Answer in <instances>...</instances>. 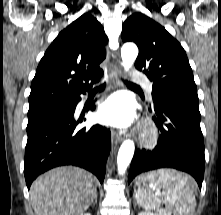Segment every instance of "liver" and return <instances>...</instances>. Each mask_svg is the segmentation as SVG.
Masks as SVG:
<instances>
[{"instance_id":"1","label":"liver","mask_w":221,"mask_h":215,"mask_svg":"<svg viewBox=\"0 0 221 215\" xmlns=\"http://www.w3.org/2000/svg\"><path fill=\"white\" fill-rule=\"evenodd\" d=\"M93 175L74 166L54 168L39 176L30 187L36 215H81L94 199Z\"/></svg>"}]
</instances>
